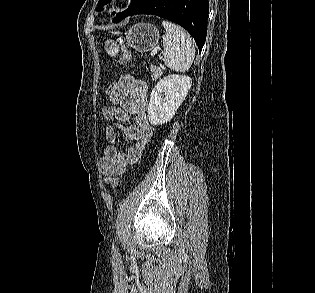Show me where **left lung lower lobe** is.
<instances>
[{"label": "left lung lower lobe", "instance_id": "left-lung-lower-lobe-1", "mask_svg": "<svg viewBox=\"0 0 315 293\" xmlns=\"http://www.w3.org/2000/svg\"><path fill=\"white\" fill-rule=\"evenodd\" d=\"M152 14L185 28L201 51L206 40L208 0H143L128 16Z\"/></svg>", "mask_w": 315, "mask_h": 293}]
</instances>
